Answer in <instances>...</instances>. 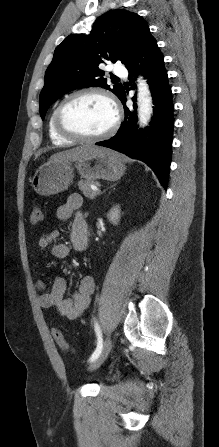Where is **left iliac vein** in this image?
<instances>
[{
    "label": "left iliac vein",
    "instance_id": "4c4485c4",
    "mask_svg": "<svg viewBox=\"0 0 219 447\" xmlns=\"http://www.w3.org/2000/svg\"><path fill=\"white\" fill-rule=\"evenodd\" d=\"M111 348H112V341L110 336L108 335L104 340L99 356L89 365L88 370L93 371L99 368L103 364V362L107 359Z\"/></svg>",
    "mask_w": 219,
    "mask_h": 447
}]
</instances>
